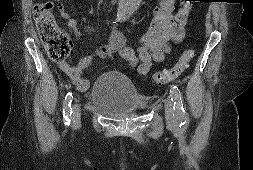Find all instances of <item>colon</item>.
<instances>
[{
	"instance_id": "colon-1",
	"label": "colon",
	"mask_w": 253,
	"mask_h": 170,
	"mask_svg": "<svg viewBox=\"0 0 253 170\" xmlns=\"http://www.w3.org/2000/svg\"><path fill=\"white\" fill-rule=\"evenodd\" d=\"M193 1L195 0L183 1L177 13L180 20L186 21ZM53 7L54 4L50 0L36 4L34 8V18L48 57L54 61H62L69 56L72 49V42L68 34L58 27L52 12ZM191 57V51L188 50L183 52L173 67L155 73V82L166 84L174 81L187 69Z\"/></svg>"
}]
</instances>
